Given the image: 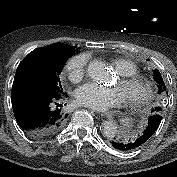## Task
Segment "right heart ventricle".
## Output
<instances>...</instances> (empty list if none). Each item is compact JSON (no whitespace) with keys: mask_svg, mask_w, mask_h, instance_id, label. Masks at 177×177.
Instances as JSON below:
<instances>
[{"mask_svg":"<svg viewBox=\"0 0 177 177\" xmlns=\"http://www.w3.org/2000/svg\"><path fill=\"white\" fill-rule=\"evenodd\" d=\"M120 76H133L138 74L137 65L128 59H116L112 63Z\"/></svg>","mask_w":177,"mask_h":177,"instance_id":"right-heart-ventricle-1","label":"right heart ventricle"}]
</instances>
